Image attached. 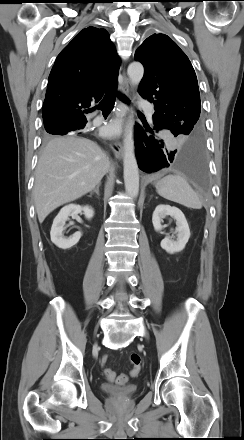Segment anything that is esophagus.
<instances>
[{"label": "esophagus", "instance_id": "34e87169", "mask_svg": "<svg viewBox=\"0 0 244 440\" xmlns=\"http://www.w3.org/2000/svg\"><path fill=\"white\" fill-rule=\"evenodd\" d=\"M119 91L125 96H127L129 93V82L124 73L122 75V80L119 83ZM126 111V104L117 99V115L123 118L126 114ZM110 147L117 158L121 159L123 157V146L120 141L111 142Z\"/></svg>", "mask_w": 244, "mask_h": 440}]
</instances>
